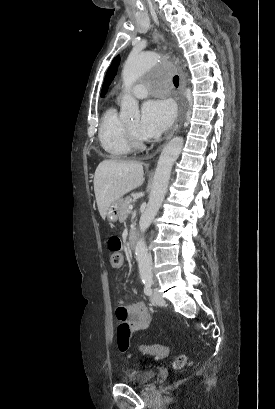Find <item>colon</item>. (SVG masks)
Instances as JSON below:
<instances>
[{
    "instance_id": "colon-1",
    "label": "colon",
    "mask_w": 275,
    "mask_h": 409,
    "mask_svg": "<svg viewBox=\"0 0 275 409\" xmlns=\"http://www.w3.org/2000/svg\"><path fill=\"white\" fill-rule=\"evenodd\" d=\"M107 247L111 251V262H112V267L114 270H121L123 267V253L121 252V239L117 235H112L111 237L108 238L107 240ZM144 349H149L148 351H145L143 354L145 356L151 357V358H165L167 355V350L169 348V345L167 342H154V343H149V344H144L142 346ZM142 347L139 345L138 349L141 350ZM186 363V358L185 356H179L178 358L175 359L174 361V367L175 368H180L184 366Z\"/></svg>"
}]
</instances>
